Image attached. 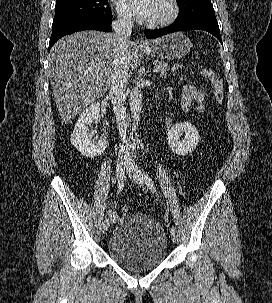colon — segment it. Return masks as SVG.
<instances>
[{
    "label": "colon",
    "instance_id": "obj_1",
    "mask_svg": "<svg viewBox=\"0 0 272 303\" xmlns=\"http://www.w3.org/2000/svg\"><path fill=\"white\" fill-rule=\"evenodd\" d=\"M186 64L182 61H175L171 65V72L173 74H180L185 71ZM199 73L208 78L212 85H213V92L214 97L218 103H221L224 99V86H223V80L211 69L203 68L199 71ZM123 214L128 213V208L123 207L122 208Z\"/></svg>",
    "mask_w": 272,
    "mask_h": 303
}]
</instances>
